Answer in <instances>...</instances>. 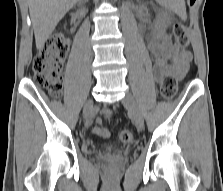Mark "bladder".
I'll use <instances>...</instances> for the list:
<instances>
[{
  "label": "bladder",
  "mask_w": 223,
  "mask_h": 191,
  "mask_svg": "<svg viewBox=\"0 0 223 191\" xmlns=\"http://www.w3.org/2000/svg\"><path fill=\"white\" fill-rule=\"evenodd\" d=\"M112 148H113V146H111V145L108 147V149H112Z\"/></svg>",
  "instance_id": "obj_1"
}]
</instances>
